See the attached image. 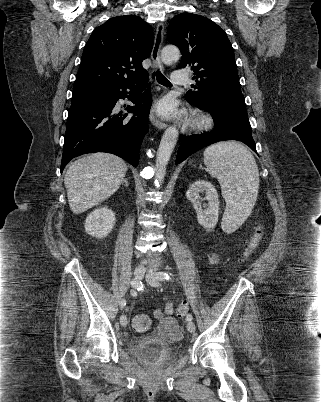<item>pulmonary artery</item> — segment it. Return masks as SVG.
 <instances>
[{"mask_svg": "<svg viewBox=\"0 0 321 402\" xmlns=\"http://www.w3.org/2000/svg\"><path fill=\"white\" fill-rule=\"evenodd\" d=\"M171 83L173 85H185L188 83L186 73L183 69L175 70L171 75Z\"/></svg>", "mask_w": 321, "mask_h": 402, "instance_id": "pulmonary-artery-1", "label": "pulmonary artery"}]
</instances>
